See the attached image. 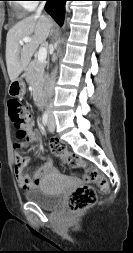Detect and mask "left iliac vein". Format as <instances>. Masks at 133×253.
Here are the masks:
<instances>
[{
	"label": "left iliac vein",
	"mask_w": 133,
	"mask_h": 253,
	"mask_svg": "<svg viewBox=\"0 0 133 253\" xmlns=\"http://www.w3.org/2000/svg\"><path fill=\"white\" fill-rule=\"evenodd\" d=\"M49 132L53 133L55 131V123L54 120L51 118L48 124Z\"/></svg>",
	"instance_id": "1"
}]
</instances>
